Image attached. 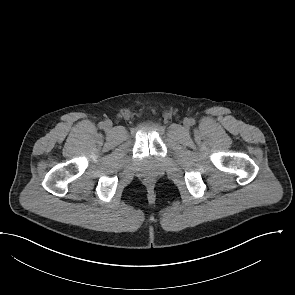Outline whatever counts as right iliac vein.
<instances>
[{"label": "right iliac vein", "instance_id": "obj_1", "mask_svg": "<svg viewBox=\"0 0 295 295\" xmlns=\"http://www.w3.org/2000/svg\"><path fill=\"white\" fill-rule=\"evenodd\" d=\"M104 127L109 130L112 128V122L110 120H107L104 122Z\"/></svg>", "mask_w": 295, "mask_h": 295}]
</instances>
